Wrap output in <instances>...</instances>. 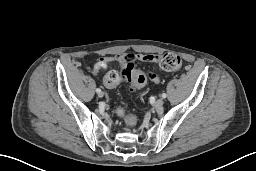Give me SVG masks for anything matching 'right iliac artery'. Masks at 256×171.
Masks as SVG:
<instances>
[{"label":"right iliac artery","instance_id":"82829eb1","mask_svg":"<svg viewBox=\"0 0 256 171\" xmlns=\"http://www.w3.org/2000/svg\"><path fill=\"white\" fill-rule=\"evenodd\" d=\"M96 92H97V93H100V92H101V89L97 88V89H96Z\"/></svg>","mask_w":256,"mask_h":171}]
</instances>
